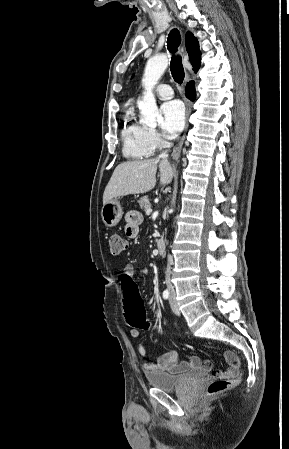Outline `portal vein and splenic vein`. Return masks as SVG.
I'll return each instance as SVG.
<instances>
[{
	"mask_svg": "<svg viewBox=\"0 0 289 449\" xmlns=\"http://www.w3.org/2000/svg\"><path fill=\"white\" fill-rule=\"evenodd\" d=\"M151 213H152V209H151V208H149V209L146 210V214H147V215H150Z\"/></svg>",
	"mask_w": 289,
	"mask_h": 449,
	"instance_id": "portal-vein-and-splenic-vein-1",
	"label": "portal vein and splenic vein"
}]
</instances>
